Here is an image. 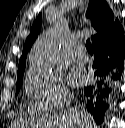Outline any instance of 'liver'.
Here are the masks:
<instances>
[{"label":"liver","instance_id":"liver-1","mask_svg":"<svg viewBox=\"0 0 125 128\" xmlns=\"http://www.w3.org/2000/svg\"><path fill=\"white\" fill-rule=\"evenodd\" d=\"M72 114L77 115L79 119V125L73 124L72 119H71ZM46 123H47V127L55 126L59 128H68L69 126H77L75 128H92L91 116L85 113L84 107L81 109V111H76L73 109L61 115L52 117ZM46 123L44 122L45 126H46Z\"/></svg>","mask_w":125,"mask_h":128}]
</instances>
